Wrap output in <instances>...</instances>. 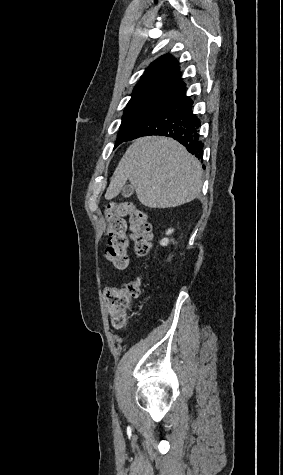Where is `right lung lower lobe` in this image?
<instances>
[{
	"label": "right lung lower lobe",
	"mask_w": 283,
	"mask_h": 475,
	"mask_svg": "<svg viewBox=\"0 0 283 475\" xmlns=\"http://www.w3.org/2000/svg\"><path fill=\"white\" fill-rule=\"evenodd\" d=\"M193 107V101L186 96L183 86L143 119L124 141L147 135L171 137L202 159L204 144L199 135L201 123L193 113Z\"/></svg>",
	"instance_id": "obj_1"
}]
</instances>
